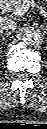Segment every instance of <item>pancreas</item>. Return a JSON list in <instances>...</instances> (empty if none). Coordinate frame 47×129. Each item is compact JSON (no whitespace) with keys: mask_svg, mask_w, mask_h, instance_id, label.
<instances>
[{"mask_svg":"<svg viewBox=\"0 0 47 129\" xmlns=\"http://www.w3.org/2000/svg\"><path fill=\"white\" fill-rule=\"evenodd\" d=\"M24 1L26 0H10V3L12 4V6H14V9L16 10L18 6L27 5V3H24Z\"/></svg>","mask_w":47,"mask_h":129,"instance_id":"pancreas-1","label":"pancreas"}]
</instances>
